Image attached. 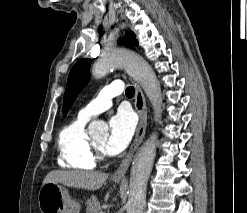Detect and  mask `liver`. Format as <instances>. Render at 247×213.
<instances>
[{
	"instance_id": "obj_1",
	"label": "liver",
	"mask_w": 247,
	"mask_h": 213,
	"mask_svg": "<svg viewBox=\"0 0 247 213\" xmlns=\"http://www.w3.org/2000/svg\"><path fill=\"white\" fill-rule=\"evenodd\" d=\"M108 174L96 171H63L54 170L47 174L43 180V185L54 182L69 187L86 190H98L105 183Z\"/></svg>"
}]
</instances>
